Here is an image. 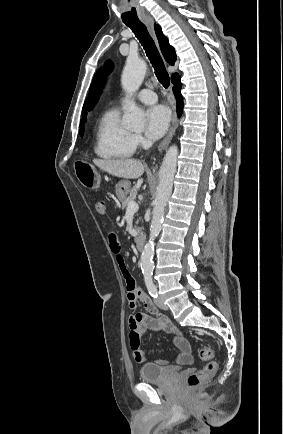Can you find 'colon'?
<instances>
[{
  "label": "colon",
  "mask_w": 283,
  "mask_h": 434,
  "mask_svg": "<svg viewBox=\"0 0 283 434\" xmlns=\"http://www.w3.org/2000/svg\"><path fill=\"white\" fill-rule=\"evenodd\" d=\"M76 175L80 183L88 189H97L100 184L96 170L88 163L78 162L75 164ZM199 357L206 365L202 370L192 373L187 379L190 389H196L210 380L217 371V363L213 360V350L204 346L199 350Z\"/></svg>",
  "instance_id": "colon-1"
}]
</instances>
